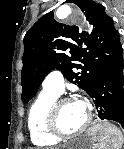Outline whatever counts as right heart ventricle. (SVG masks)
Returning a JSON list of instances; mask_svg holds the SVG:
<instances>
[{
    "label": "right heart ventricle",
    "mask_w": 124,
    "mask_h": 149,
    "mask_svg": "<svg viewBox=\"0 0 124 149\" xmlns=\"http://www.w3.org/2000/svg\"><path fill=\"white\" fill-rule=\"evenodd\" d=\"M57 97L58 94L43 90L29 109L27 126L30 139L36 146L51 147L60 141L47 129V113Z\"/></svg>",
    "instance_id": "1"
}]
</instances>
